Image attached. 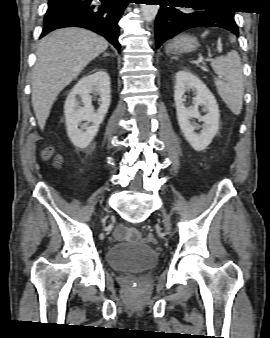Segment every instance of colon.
I'll return each mask as SVG.
<instances>
[{"instance_id": "colon-1", "label": "colon", "mask_w": 270, "mask_h": 338, "mask_svg": "<svg viewBox=\"0 0 270 338\" xmlns=\"http://www.w3.org/2000/svg\"><path fill=\"white\" fill-rule=\"evenodd\" d=\"M44 154H45V156H46L47 158H52V157H53V158L55 159L56 164H59V163H60V157L57 156V155L54 156V153H53V151H52L50 148H47V149L45 150ZM145 241H147L148 243H151V244H155V243H156V238L153 237V236H148V237L145 239Z\"/></svg>"}]
</instances>
